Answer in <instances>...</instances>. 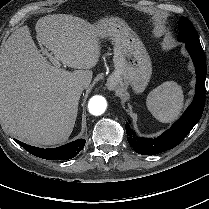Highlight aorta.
<instances>
[{
	"label": "aorta",
	"mask_w": 209,
	"mask_h": 209,
	"mask_svg": "<svg viewBox=\"0 0 209 209\" xmlns=\"http://www.w3.org/2000/svg\"><path fill=\"white\" fill-rule=\"evenodd\" d=\"M107 108V101L103 96L95 95L88 102V110L92 115H102Z\"/></svg>",
	"instance_id": "1"
}]
</instances>
